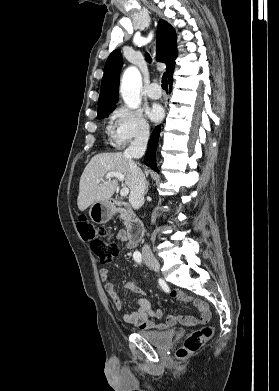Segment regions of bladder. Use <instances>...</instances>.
<instances>
[{
    "label": "bladder",
    "instance_id": "1",
    "mask_svg": "<svg viewBox=\"0 0 279 391\" xmlns=\"http://www.w3.org/2000/svg\"><path fill=\"white\" fill-rule=\"evenodd\" d=\"M137 334L153 346L163 348L170 345L177 336L176 330L147 331L140 330Z\"/></svg>",
    "mask_w": 279,
    "mask_h": 391
}]
</instances>
